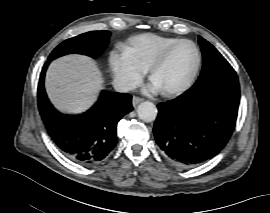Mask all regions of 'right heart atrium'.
<instances>
[{"mask_svg":"<svg viewBox=\"0 0 270 213\" xmlns=\"http://www.w3.org/2000/svg\"><path fill=\"white\" fill-rule=\"evenodd\" d=\"M111 64L117 80L127 88L137 86L145 73V68L131 64L123 52L121 54L113 53Z\"/></svg>","mask_w":270,"mask_h":213,"instance_id":"right-heart-atrium-1","label":"right heart atrium"}]
</instances>
